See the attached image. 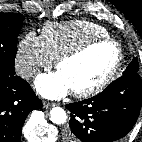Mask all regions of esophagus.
I'll use <instances>...</instances> for the list:
<instances>
[{"instance_id":"obj_1","label":"esophagus","mask_w":142,"mask_h":142,"mask_svg":"<svg viewBox=\"0 0 142 142\" xmlns=\"http://www.w3.org/2000/svg\"><path fill=\"white\" fill-rule=\"evenodd\" d=\"M54 106H55V103H51V102H47V101L43 102V108H51Z\"/></svg>"}]
</instances>
